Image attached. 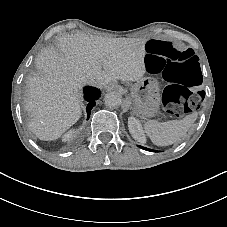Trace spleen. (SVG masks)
I'll list each match as a JSON object with an SVG mask.
<instances>
[{"label":"spleen","instance_id":"obj_1","mask_svg":"<svg viewBox=\"0 0 227 227\" xmlns=\"http://www.w3.org/2000/svg\"><path fill=\"white\" fill-rule=\"evenodd\" d=\"M197 112L185 116L182 120L158 122L150 120L144 125L146 134L157 146H168L179 142L197 119Z\"/></svg>","mask_w":227,"mask_h":227}]
</instances>
